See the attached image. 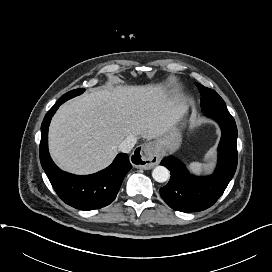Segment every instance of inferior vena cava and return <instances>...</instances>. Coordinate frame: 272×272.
<instances>
[{
    "label": "inferior vena cava",
    "instance_id": "602c4592",
    "mask_svg": "<svg viewBox=\"0 0 272 272\" xmlns=\"http://www.w3.org/2000/svg\"><path fill=\"white\" fill-rule=\"evenodd\" d=\"M136 141V137L128 136L119 144L118 150L123 153H129L136 144Z\"/></svg>",
    "mask_w": 272,
    "mask_h": 272
}]
</instances>
